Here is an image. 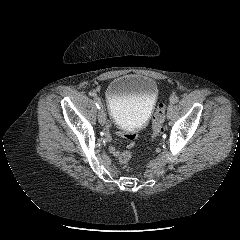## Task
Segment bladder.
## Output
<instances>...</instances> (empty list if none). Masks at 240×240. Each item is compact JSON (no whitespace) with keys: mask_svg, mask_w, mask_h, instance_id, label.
Returning <instances> with one entry per match:
<instances>
[{"mask_svg":"<svg viewBox=\"0 0 240 240\" xmlns=\"http://www.w3.org/2000/svg\"><path fill=\"white\" fill-rule=\"evenodd\" d=\"M154 79L126 74L112 80L106 98L111 117L123 130L136 131L149 120L158 98Z\"/></svg>","mask_w":240,"mask_h":240,"instance_id":"31cf9c89","label":"bladder"}]
</instances>
